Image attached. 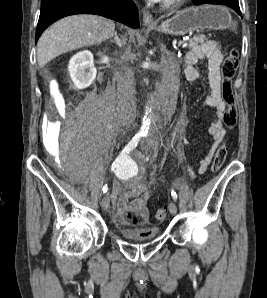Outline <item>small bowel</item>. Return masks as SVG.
Wrapping results in <instances>:
<instances>
[{"label": "small bowel", "instance_id": "obj_1", "mask_svg": "<svg viewBox=\"0 0 267 298\" xmlns=\"http://www.w3.org/2000/svg\"><path fill=\"white\" fill-rule=\"evenodd\" d=\"M208 59V80L210 93L206 98V104L216 111V117L209 127V134L212 137V145L206 157L200 162L198 172L200 174L207 170V167L213 157L217 144L222 140L225 134V112L227 109L221 94V74L220 65L223 60V54L218 44L214 41H206L194 47L186 53L184 57V73L189 81H195L200 73L195 67L196 63ZM174 110L171 105L170 111ZM118 214L121 216L126 212H131L140 217L144 222L149 218L147 201L150 197L148 186L138 178H133L126 183V190L120 191L119 183H115L112 192ZM137 233L146 236L152 233V228H141Z\"/></svg>", "mask_w": 267, "mask_h": 298}]
</instances>
